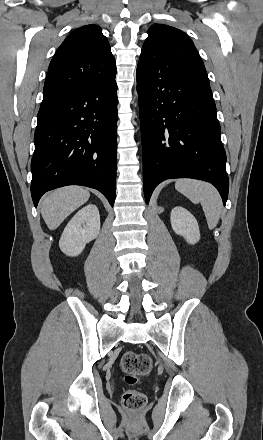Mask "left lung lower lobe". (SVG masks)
Wrapping results in <instances>:
<instances>
[{"label": "left lung lower lobe", "instance_id": "obj_1", "mask_svg": "<svg viewBox=\"0 0 263 440\" xmlns=\"http://www.w3.org/2000/svg\"><path fill=\"white\" fill-rule=\"evenodd\" d=\"M136 76L146 203L160 182L194 178L212 183L225 205L226 154L210 85L171 63L138 64Z\"/></svg>", "mask_w": 263, "mask_h": 440}]
</instances>
